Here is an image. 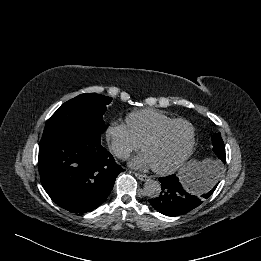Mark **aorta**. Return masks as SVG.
<instances>
[{"label":"aorta","mask_w":261,"mask_h":261,"mask_svg":"<svg viewBox=\"0 0 261 261\" xmlns=\"http://www.w3.org/2000/svg\"><path fill=\"white\" fill-rule=\"evenodd\" d=\"M144 192L150 198H156L161 193V184L156 180H147L144 184Z\"/></svg>","instance_id":"obj_1"}]
</instances>
